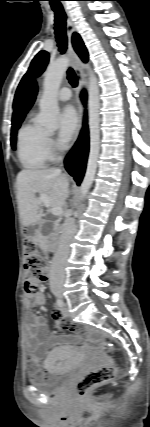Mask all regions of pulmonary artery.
I'll return each instance as SVG.
<instances>
[{"mask_svg": "<svg viewBox=\"0 0 150 427\" xmlns=\"http://www.w3.org/2000/svg\"><path fill=\"white\" fill-rule=\"evenodd\" d=\"M57 98L60 101H68L71 98V90L68 87H63L59 90Z\"/></svg>", "mask_w": 150, "mask_h": 427, "instance_id": "e3ab8cb5", "label": "pulmonary artery"}]
</instances>
